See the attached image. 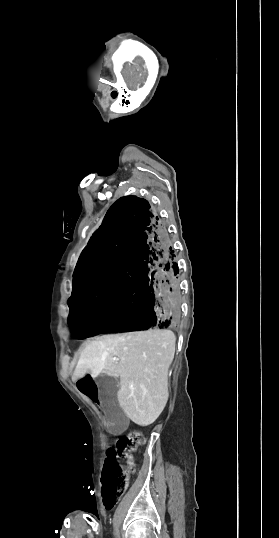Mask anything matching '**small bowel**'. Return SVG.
<instances>
[{
    "instance_id": "small-bowel-1",
    "label": "small bowel",
    "mask_w": 279,
    "mask_h": 538,
    "mask_svg": "<svg viewBox=\"0 0 279 538\" xmlns=\"http://www.w3.org/2000/svg\"><path fill=\"white\" fill-rule=\"evenodd\" d=\"M128 463H129L130 465H133V459H132L131 457L129 458Z\"/></svg>"
}]
</instances>
